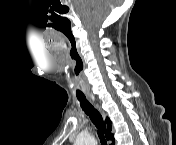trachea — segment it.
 Instances as JSON below:
<instances>
[{"instance_id":"trachea-1","label":"trachea","mask_w":176,"mask_h":145,"mask_svg":"<svg viewBox=\"0 0 176 145\" xmlns=\"http://www.w3.org/2000/svg\"><path fill=\"white\" fill-rule=\"evenodd\" d=\"M77 99L80 101L82 110L90 117L91 121L96 126L101 145H107V141L104 136V133L106 134V125L101 114L84 95H77Z\"/></svg>"}]
</instances>
